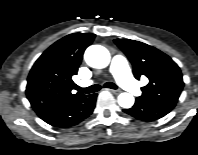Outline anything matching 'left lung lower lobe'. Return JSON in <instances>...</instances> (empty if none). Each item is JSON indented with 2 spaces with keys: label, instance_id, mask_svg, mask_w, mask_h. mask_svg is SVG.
Masks as SVG:
<instances>
[{
  "label": "left lung lower lobe",
  "instance_id": "0a47b994",
  "mask_svg": "<svg viewBox=\"0 0 198 155\" xmlns=\"http://www.w3.org/2000/svg\"><path fill=\"white\" fill-rule=\"evenodd\" d=\"M174 106L171 103H146L136 99L131 108L123 111L139 120L153 121L168 114Z\"/></svg>",
  "mask_w": 198,
  "mask_h": 155
}]
</instances>
